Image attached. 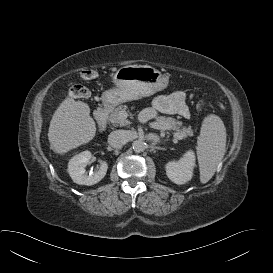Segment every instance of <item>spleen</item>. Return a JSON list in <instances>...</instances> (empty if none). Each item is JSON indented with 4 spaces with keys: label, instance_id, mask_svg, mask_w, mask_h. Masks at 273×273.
<instances>
[{
    "label": "spleen",
    "instance_id": "3e777b00",
    "mask_svg": "<svg viewBox=\"0 0 273 273\" xmlns=\"http://www.w3.org/2000/svg\"><path fill=\"white\" fill-rule=\"evenodd\" d=\"M226 149V129L221 118L215 114L207 115L201 126L197 140V157L200 182L207 183L215 174Z\"/></svg>",
    "mask_w": 273,
    "mask_h": 273
}]
</instances>
